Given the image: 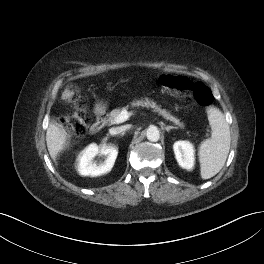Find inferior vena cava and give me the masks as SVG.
I'll return each instance as SVG.
<instances>
[{"label":"inferior vena cava","instance_id":"inferior-vena-cava-1","mask_svg":"<svg viewBox=\"0 0 264 264\" xmlns=\"http://www.w3.org/2000/svg\"><path fill=\"white\" fill-rule=\"evenodd\" d=\"M126 129H127L126 126L115 127V128H111V129L109 130V133H110L111 135H116V134H119V133L125 131Z\"/></svg>","mask_w":264,"mask_h":264}]
</instances>
